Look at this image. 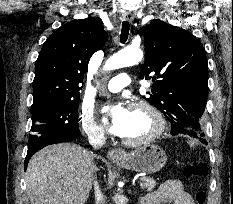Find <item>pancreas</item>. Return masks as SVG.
Instances as JSON below:
<instances>
[{
  "label": "pancreas",
  "mask_w": 233,
  "mask_h": 204,
  "mask_svg": "<svg viewBox=\"0 0 233 204\" xmlns=\"http://www.w3.org/2000/svg\"><path fill=\"white\" fill-rule=\"evenodd\" d=\"M141 181H142L141 188L147 192L153 191V189L157 185L156 181H154V179L149 177H142Z\"/></svg>",
  "instance_id": "cf45deb5"
}]
</instances>
